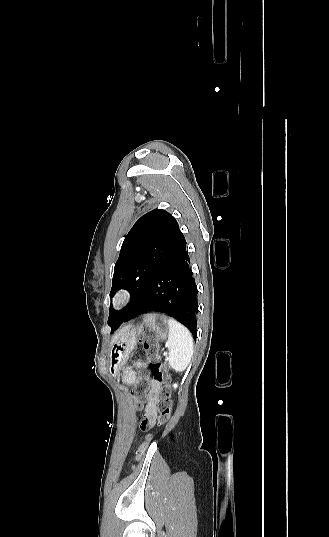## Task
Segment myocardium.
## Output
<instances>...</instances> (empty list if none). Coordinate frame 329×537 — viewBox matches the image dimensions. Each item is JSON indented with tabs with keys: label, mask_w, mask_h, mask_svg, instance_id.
<instances>
[{
	"label": "myocardium",
	"mask_w": 329,
	"mask_h": 537,
	"mask_svg": "<svg viewBox=\"0 0 329 537\" xmlns=\"http://www.w3.org/2000/svg\"><path fill=\"white\" fill-rule=\"evenodd\" d=\"M132 295L127 289H120L111 298V307L115 310H121L131 301Z\"/></svg>",
	"instance_id": "obj_1"
}]
</instances>
